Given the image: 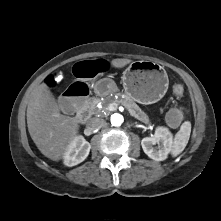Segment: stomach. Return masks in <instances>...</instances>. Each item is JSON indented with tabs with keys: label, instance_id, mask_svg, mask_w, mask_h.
<instances>
[{
	"label": "stomach",
	"instance_id": "stomach-1",
	"mask_svg": "<svg viewBox=\"0 0 221 221\" xmlns=\"http://www.w3.org/2000/svg\"><path fill=\"white\" fill-rule=\"evenodd\" d=\"M126 95L141 104L159 101L168 89L169 79L164 68L152 61H134L123 72Z\"/></svg>",
	"mask_w": 221,
	"mask_h": 221
}]
</instances>
